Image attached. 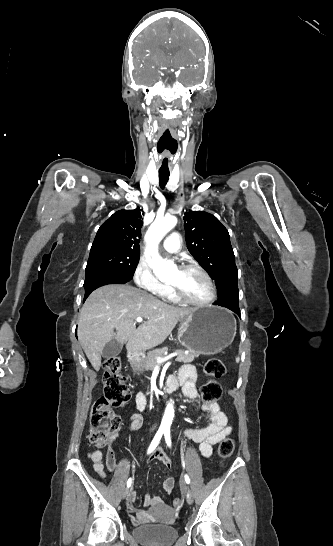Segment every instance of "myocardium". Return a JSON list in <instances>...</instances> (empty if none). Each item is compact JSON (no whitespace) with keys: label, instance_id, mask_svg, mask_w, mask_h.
I'll use <instances>...</instances> for the list:
<instances>
[{"label":"myocardium","instance_id":"1","mask_svg":"<svg viewBox=\"0 0 333 546\" xmlns=\"http://www.w3.org/2000/svg\"><path fill=\"white\" fill-rule=\"evenodd\" d=\"M180 270L181 271H187V270L198 271L205 278V280L207 281V283L209 285V288H210V291H211V294H210V297L208 299H206V300L195 301V300H192V299H189L188 297H186L177 286L171 285L172 293H173V295L175 296V298L177 300H179L181 302H184L186 304H189V305H193V306H207V305L212 304L216 300L217 289H216L215 283H214L213 279L211 278V276L209 275V273L203 267H201L200 265H197V264H186V265H183L180 268Z\"/></svg>","mask_w":333,"mask_h":546}]
</instances>
